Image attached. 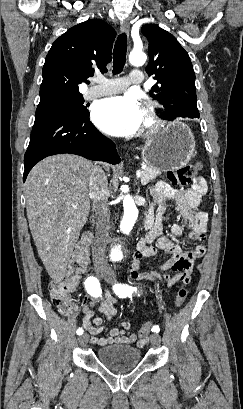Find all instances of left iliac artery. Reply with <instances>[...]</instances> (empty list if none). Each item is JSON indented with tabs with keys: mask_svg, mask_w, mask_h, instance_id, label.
<instances>
[{
	"mask_svg": "<svg viewBox=\"0 0 243 409\" xmlns=\"http://www.w3.org/2000/svg\"><path fill=\"white\" fill-rule=\"evenodd\" d=\"M113 290L119 297H127V296L130 297L136 289L127 284H115L113 286ZM159 331H160L159 326H153L152 332L158 333Z\"/></svg>",
	"mask_w": 243,
	"mask_h": 409,
	"instance_id": "left-iliac-artery-1",
	"label": "left iliac artery"
}]
</instances>
